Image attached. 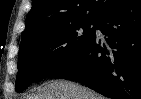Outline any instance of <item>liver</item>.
Wrapping results in <instances>:
<instances>
[{"label": "liver", "mask_w": 141, "mask_h": 99, "mask_svg": "<svg viewBox=\"0 0 141 99\" xmlns=\"http://www.w3.org/2000/svg\"><path fill=\"white\" fill-rule=\"evenodd\" d=\"M26 99H106L93 90L78 83L55 80L37 88Z\"/></svg>", "instance_id": "obj_1"}]
</instances>
